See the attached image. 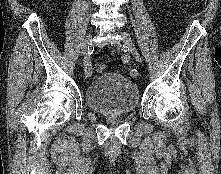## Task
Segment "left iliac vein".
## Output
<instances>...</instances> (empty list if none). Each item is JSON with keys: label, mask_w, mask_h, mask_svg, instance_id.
I'll return each instance as SVG.
<instances>
[{"label": "left iliac vein", "mask_w": 221, "mask_h": 174, "mask_svg": "<svg viewBox=\"0 0 221 174\" xmlns=\"http://www.w3.org/2000/svg\"><path fill=\"white\" fill-rule=\"evenodd\" d=\"M121 40L123 41L124 45L128 48L129 52L132 54L134 59L137 62H141L142 59L137 51V48L135 47L134 43L131 40V37L126 32H120Z\"/></svg>", "instance_id": "4c4485c4"}]
</instances>
